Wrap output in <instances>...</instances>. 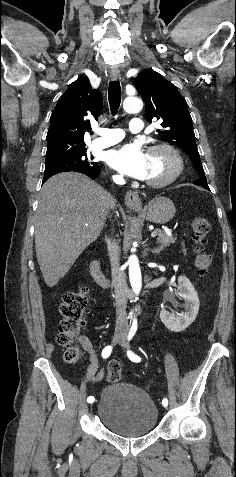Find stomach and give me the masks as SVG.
<instances>
[{
	"instance_id": "1",
	"label": "stomach",
	"mask_w": 236,
	"mask_h": 477,
	"mask_svg": "<svg viewBox=\"0 0 236 477\" xmlns=\"http://www.w3.org/2000/svg\"><path fill=\"white\" fill-rule=\"evenodd\" d=\"M141 212L152 223L166 224L174 217L176 209L169 198L159 196L152 199Z\"/></svg>"
}]
</instances>
